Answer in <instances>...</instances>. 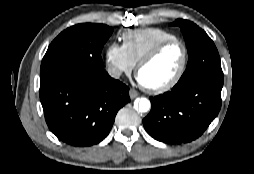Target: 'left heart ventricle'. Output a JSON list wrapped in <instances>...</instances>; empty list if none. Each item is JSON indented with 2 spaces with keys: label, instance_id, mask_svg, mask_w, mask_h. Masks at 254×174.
<instances>
[{
  "label": "left heart ventricle",
  "instance_id": "1",
  "mask_svg": "<svg viewBox=\"0 0 254 174\" xmlns=\"http://www.w3.org/2000/svg\"><path fill=\"white\" fill-rule=\"evenodd\" d=\"M183 58L180 44L173 43L164 48L160 54L138 73L141 82L150 87L161 86L170 81L179 70Z\"/></svg>",
  "mask_w": 254,
  "mask_h": 174
}]
</instances>
